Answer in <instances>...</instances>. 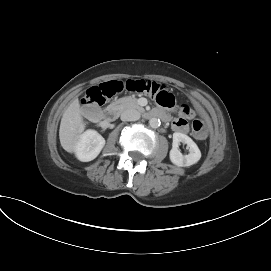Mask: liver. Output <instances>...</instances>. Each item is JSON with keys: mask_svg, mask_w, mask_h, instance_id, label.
Here are the masks:
<instances>
[{"mask_svg": "<svg viewBox=\"0 0 271 271\" xmlns=\"http://www.w3.org/2000/svg\"><path fill=\"white\" fill-rule=\"evenodd\" d=\"M84 129L79 100L75 99L63 114L59 129L61 146L69 153L75 152L79 134Z\"/></svg>", "mask_w": 271, "mask_h": 271, "instance_id": "6515ba94", "label": "liver"}]
</instances>
